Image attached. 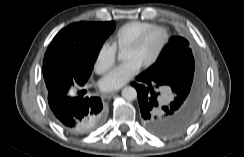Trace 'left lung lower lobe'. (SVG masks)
Listing matches in <instances>:
<instances>
[{
	"label": "left lung lower lobe",
	"mask_w": 244,
	"mask_h": 157,
	"mask_svg": "<svg viewBox=\"0 0 244 157\" xmlns=\"http://www.w3.org/2000/svg\"><path fill=\"white\" fill-rule=\"evenodd\" d=\"M132 82L138 93V102L144 127L162 138L181 135L193 123L200 107L199 99L175 94L168 103H161L164 81L154 75L142 73Z\"/></svg>",
	"instance_id": "obj_1"
}]
</instances>
